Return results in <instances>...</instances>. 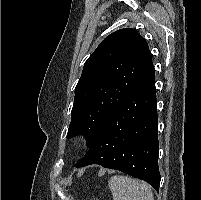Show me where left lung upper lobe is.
<instances>
[{"mask_svg": "<svg viewBox=\"0 0 201 200\" xmlns=\"http://www.w3.org/2000/svg\"><path fill=\"white\" fill-rule=\"evenodd\" d=\"M153 69L148 44L135 29L107 36L84 64L67 138L84 135L90 147L111 111Z\"/></svg>", "mask_w": 201, "mask_h": 200, "instance_id": "obj_1", "label": "left lung upper lobe"}]
</instances>
